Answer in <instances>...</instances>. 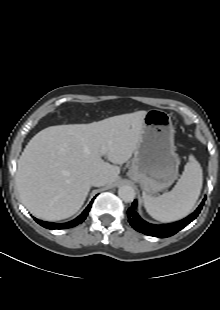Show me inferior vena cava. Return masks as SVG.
Listing matches in <instances>:
<instances>
[{
	"label": "inferior vena cava",
	"mask_w": 220,
	"mask_h": 310,
	"mask_svg": "<svg viewBox=\"0 0 220 310\" xmlns=\"http://www.w3.org/2000/svg\"><path fill=\"white\" fill-rule=\"evenodd\" d=\"M107 183H108V178L102 174L95 175L91 179V185L96 186V187L104 186Z\"/></svg>",
	"instance_id": "obj_1"
}]
</instances>
